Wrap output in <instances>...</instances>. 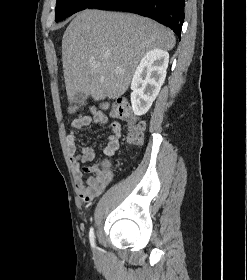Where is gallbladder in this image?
<instances>
[{"instance_id":"gallbladder-1","label":"gallbladder","mask_w":247,"mask_h":280,"mask_svg":"<svg viewBox=\"0 0 247 280\" xmlns=\"http://www.w3.org/2000/svg\"><path fill=\"white\" fill-rule=\"evenodd\" d=\"M83 98H85L84 93L79 92V93H77V94L75 95L74 100H75L76 102H80Z\"/></svg>"}]
</instances>
